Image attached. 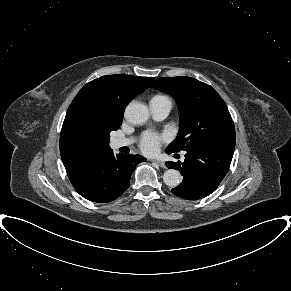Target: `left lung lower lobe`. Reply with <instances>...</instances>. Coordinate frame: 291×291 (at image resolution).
Segmentation results:
<instances>
[{
	"label": "left lung lower lobe",
	"instance_id": "1",
	"mask_svg": "<svg viewBox=\"0 0 291 291\" xmlns=\"http://www.w3.org/2000/svg\"><path fill=\"white\" fill-rule=\"evenodd\" d=\"M234 149L233 144L192 147L186 150L183 163L166 162L168 168H176L183 175L182 183L172 193L188 200L210 195L227 174Z\"/></svg>",
	"mask_w": 291,
	"mask_h": 291
}]
</instances>
